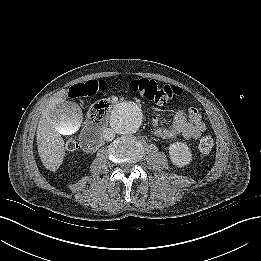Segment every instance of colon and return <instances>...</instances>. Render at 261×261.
I'll list each match as a JSON object with an SVG mask.
<instances>
[{
	"instance_id": "obj_1",
	"label": "colon",
	"mask_w": 261,
	"mask_h": 261,
	"mask_svg": "<svg viewBox=\"0 0 261 261\" xmlns=\"http://www.w3.org/2000/svg\"><path fill=\"white\" fill-rule=\"evenodd\" d=\"M123 89L138 94L145 99L157 104H164L176 99L181 94V89L175 85L161 84L151 79L139 78L131 80L122 86ZM107 89L105 81L90 80L72 87L70 94L76 98L93 96ZM111 104L108 101H99L91 106L88 117L91 124H100L108 116ZM214 142L211 136H205L199 141V150L203 154L209 153ZM68 151H76L79 148L77 140L70 139L66 144Z\"/></svg>"
}]
</instances>
